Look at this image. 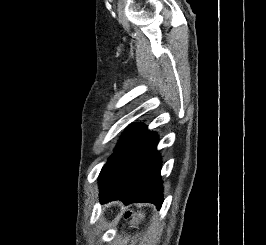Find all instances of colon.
Wrapping results in <instances>:
<instances>
[{"mask_svg": "<svg viewBox=\"0 0 266 245\" xmlns=\"http://www.w3.org/2000/svg\"><path fill=\"white\" fill-rule=\"evenodd\" d=\"M132 215H133V212L132 211H128L126 214H125V219L126 220H132Z\"/></svg>", "mask_w": 266, "mask_h": 245, "instance_id": "colon-1", "label": "colon"}]
</instances>
